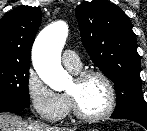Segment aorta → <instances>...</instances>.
Listing matches in <instances>:
<instances>
[{
	"instance_id": "1",
	"label": "aorta",
	"mask_w": 147,
	"mask_h": 131,
	"mask_svg": "<svg viewBox=\"0 0 147 131\" xmlns=\"http://www.w3.org/2000/svg\"><path fill=\"white\" fill-rule=\"evenodd\" d=\"M67 35L66 23L55 22L40 32L32 49L34 69L44 83L56 91L64 90L70 82V76L63 69L60 58Z\"/></svg>"
}]
</instances>
